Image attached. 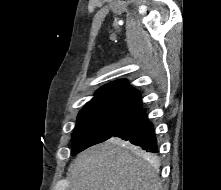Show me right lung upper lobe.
<instances>
[{
	"label": "right lung upper lobe",
	"mask_w": 221,
	"mask_h": 190,
	"mask_svg": "<svg viewBox=\"0 0 221 190\" xmlns=\"http://www.w3.org/2000/svg\"><path fill=\"white\" fill-rule=\"evenodd\" d=\"M86 105H115L139 110L142 108L141 93L128 85L127 80H117L101 87Z\"/></svg>",
	"instance_id": "1"
}]
</instances>
